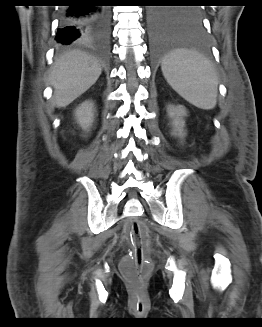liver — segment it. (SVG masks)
<instances>
[{
    "label": "liver",
    "mask_w": 262,
    "mask_h": 327,
    "mask_svg": "<svg viewBox=\"0 0 262 327\" xmlns=\"http://www.w3.org/2000/svg\"><path fill=\"white\" fill-rule=\"evenodd\" d=\"M101 66L81 51H71L57 59L51 71L54 103L66 107L87 91L99 78Z\"/></svg>",
    "instance_id": "6515ba94"
}]
</instances>
